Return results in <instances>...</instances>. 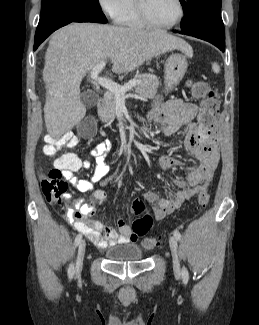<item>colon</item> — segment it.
Returning a JSON list of instances; mask_svg holds the SVG:
<instances>
[{
    "label": "colon",
    "mask_w": 259,
    "mask_h": 325,
    "mask_svg": "<svg viewBox=\"0 0 259 325\" xmlns=\"http://www.w3.org/2000/svg\"><path fill=\"white\" fill-rule=\"evenodd\" d=\"M187 87L192 97L201 102L206 110V114L201 118V124L212 131L219 129L220 123L217 120L218 103L216 95L208 83L201 80H188ZM78 144L77 138L67 133L58 139H50L44 145L43 149L48 154H53L57 149L62 147H75ZM41 190L49 202H59L67 189V183L63 172L60 168L54 167L50 172L41 179ZM210 199L208 184H204L198 195L199 207H205ZM132 211L139 217L133 222V232L138 236L147 234L152 225V217L148 214L142 215L145 211V205L140 200H135L132 204ZM142 245L145 249L151 250L160 245V240L154 237H147L143 240Z\"/></svg>",
    "instance_id": "colon-1"
}]
</instances>
